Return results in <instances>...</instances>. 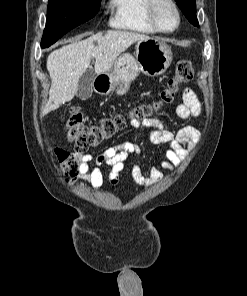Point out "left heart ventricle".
I'll list each match as a JSON object with an SVG mask.
<instances>
[{
  "instance_id": "left-heart-ventricle-1",
  "label": "left heart ventricle",
  "mask_w": 247,
  "mask_h": 296,
  "mask_svg": "<svg viewBox=\"0 0 247 296\" xmlns=\"http://www.w3.org/2000/svg\"><path fill=\"white\" fill-rule=\"evenodd\" d=\"M157 18L163 29H171L176 24V16L173 9L165 3L159 5L157 9Z\"/></svg>"
}]
</instances>
